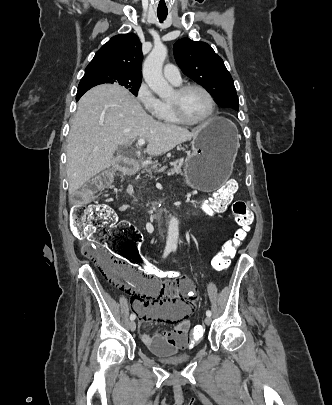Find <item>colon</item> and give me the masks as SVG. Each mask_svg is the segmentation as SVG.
Masks as SVG:
<instances>
[{"mask_svg": "<svg viewBox=\"0 0 332 405\" xmlns=\"http://www.w3.org/2000/svg\"><path fill=\"white\" fill-rule=\"evenodd\" d=\"M111 181V173H102L71 197L70 227L76 234L90 239L82 246V254L94 262L114 285H121L124 267H133L145 274L151 272L156 279L165 277L166 273L157 267L155 261L141 258L144 237L130 223L118 221L114 211L107 205L89 202ZM237 187L235 179L225 181L204 205V210L210 213L223 211L231 202ZM232 211L238 228L234 237L223 245L221 252L213 260V267L219 272L228 267L230 258L234 257L247 238L252 223V215L244 201H234ZM107 244L109 246L104 247ZM114 256H120L122 262ZM169 276L176 277L177 273L170 272ZM205 329V322H194L192 331L181 337L189 338L187 351H198L202 338L205 337Z\"/></svg>", "mask_w": 332, "mask_h": 405, "instance_id": "colon-1", "label": "colon"}]
</instances>
